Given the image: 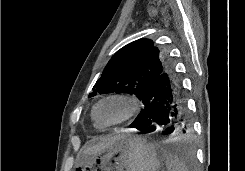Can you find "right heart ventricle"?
<instances>
[{
    "label": "right heart ventricle",
    "instance_id": "right-heart-ventricle-1",
    "mask_svg": "<svg viewBox=\"0 0 245 171\" xmlns=\"http://www.w3.org/2000/svg\"><path fill=\"white\" fill-rule=\"evenodd\" d=\"M94 125H95V127H97V128H101V125L98 124L95 120H94Z\"/></svg>",
    "mask_w": 245,
    "mask_h": 171
}]
</instances>
